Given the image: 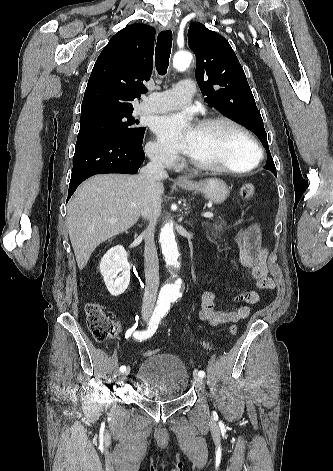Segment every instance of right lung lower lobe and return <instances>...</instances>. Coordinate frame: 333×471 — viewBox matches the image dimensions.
<instances>
[{"instance_id": "right-lung-lower-lobe-1", "label": "right lung lower lobe", "mask_w": 333, "mask_h": 471, "mask_svg": "<svg viewBox=\"0 0 333 471\" xmlns=\"http://www.w3.org/2000/svg\"><path fill=\"white\" fill-rule=\"evenodd\" d=\"M144 158L142 142L104 133L78 136L67 201L79 184L90 176L102 173L135 174Z\"/></svg>"}]
</instances>
